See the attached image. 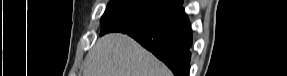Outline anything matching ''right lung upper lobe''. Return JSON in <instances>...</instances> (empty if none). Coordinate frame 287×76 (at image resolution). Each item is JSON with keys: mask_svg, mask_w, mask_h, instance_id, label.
Returning a JSON list of instances; mask_svg holds the SVG:
<instances>
[{"mask_svg": "<svg viewBox=\"0 0 287 76\" xmlns=\"http://www.w3.org/2000/svg\"><path fill=\"white\" fill-rule=\"evenodd\" d=\"M177 2V5L181 2V0H175Z\"/></svg>", "mask_w": 287, "mask_h": 76, "instance_id": "cb5924a9", "label": "right lung upper lobe"}]
</instances>
